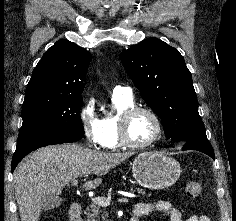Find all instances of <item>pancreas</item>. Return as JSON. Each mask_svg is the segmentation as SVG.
<instances>
[{"instance_id": "1", "label": "pancreas", "mask_w": 236, "mask_h": 221, "mask_svg": "<svg viewBox=\"0 0 236 221\" xmlns=\"http://www.w3.org/2000/svg\"><path fill=\"white\" fill-rule=\"evenodd\" d=\"M138 193L145 194L143 189H136ZM87 220L86 221H109L108 220V215L100 210V207L98 205H90L89 208L87 209Z\"/></svg>"}]
</instances>
